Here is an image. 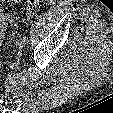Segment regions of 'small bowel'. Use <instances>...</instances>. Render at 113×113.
<instances>
[{"label":"small bowel","mask_w":113,"mask_h":113,"mask_svg":"<svg viewBox=\"0 0 113 113\" xmlns=\"http://www.w3.org/2000/svg\"><path fill=\"white\" fill-rule=\"evenodd\" d=\"M7 21H13L12 17L4 12L2 7H0V44H1V37L4 31V27L7 24Z\"/></svg>","instance_id":"obj_1"}]
</instances>
